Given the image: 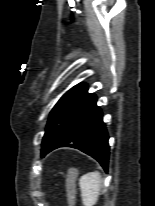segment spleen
Returning a JSON list of instances; mask_svg holds the SVG:
<instances>
[{"label":"spleen","instance_id":"obj_1","mask_svg":"<svg viewBox=\"0 0 155 206\" xmlns=\"http://www.w3.org/2000/svg\"><path fill=\"white\" fill-rule=\"evenodd\" d=\"M102 177L98 171L89 172L81 176L79 185L84 206H94L100 194Z\"/></svg>","mask_w":155,"mask_h":206}]
</instances>
